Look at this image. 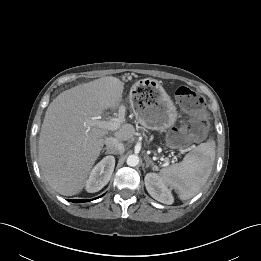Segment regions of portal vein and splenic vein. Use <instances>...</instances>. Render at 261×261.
<instances>
[{
    "instance_id": "1",
    "label": "portal vein and splenic vein",
    "mask_w": 261,
    "mask_h": 261,
    "mask_svg": "<svg viewBox=\"0 0 261 261\" xmlns=\"http://www.w3.org/2000/svg\"><path fill=\"white\" fill-rule=\"evenodd\" d=\"M124 119V113L120 112L118 118H113L107 121H101L100 117H93L91 120L93 124L107 131H116L121 127ZM166 164H168V159H166Z\"/></svg>"
}]
</instances>
